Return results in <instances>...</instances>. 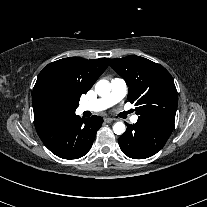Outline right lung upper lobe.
I'll return each mask as SVG.
<instances>
[{"instance_id": "obj_1", "label": "right lung upper lobe", "mask_w": 207, "mask_h": 207, "mask_svg": "<svg viewBox=\"0 0 207 207\" xmlns=\"http://www.w3.org/2000/svg\"><path fill=\"white\" fill-rule=\"evenodd\" d=\"M108 66V59L87 60L71 57L48 64L38 75L33 88L32 105L35 122L51 116L42 106L41 97L48 88H54L70 101L79 104L86 93Z\"/></svg>"}]
</instances>
